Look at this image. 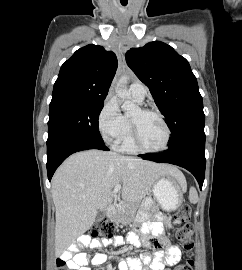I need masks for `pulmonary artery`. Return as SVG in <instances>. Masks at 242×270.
<instances>
[{"instance_id": "1", "label": "pulmonary artery", "mask_w": 242, "mask_h": 270, "mask_svg": "<svg viewBox=\"0 0 242 270\" xmlns=\"http://www.w3.org/2000/svg\"><path fill=\"white\" fill-rule=\"evenodd\" d=\"M129 93L137 102H143L147 90L144 84H142L141 82H134L129 88Z\"/></svg>"}]
</instances>
